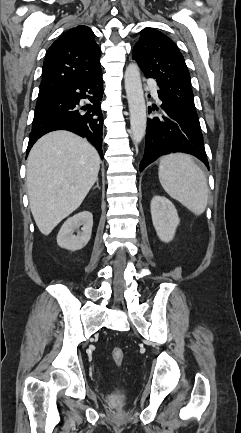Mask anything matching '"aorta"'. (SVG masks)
<instances>
[{
    "mask_svg": "<svg viewBox=\"0 0 241 433\" xmlns=\"http://www.w3.org/2000/svg\"><path fill=\"white\" fill-rule=\"evenodd\" d=\"M124 81L130 111L131 137L137 145L145 135L147 117L140 71L135 62L127 66Z\"/></svg>",
    "mask_w": 241,
    "mask_h": 433,
    "instance_id": "762f6f07",
    "label": "aorta"
}]
</instances>
